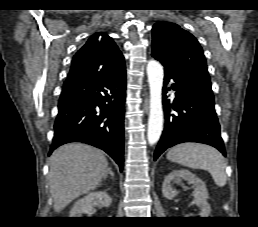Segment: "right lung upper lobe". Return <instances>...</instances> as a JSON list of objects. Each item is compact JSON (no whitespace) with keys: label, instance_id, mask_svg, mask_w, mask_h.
<instances>
[{"label":"right lung upper lobe","instance_id":"right-lung-upper-lobe-1","mask_svg":"<svg viewBox=\"0 0 258 227\" xmlns=\"http://www.w3.org/2000/svg\"><path fill=\"white\" fill-rule=\"evenodd\" d=\"M119 61L124 58L112 38L95 33L73 57L68 78L95 74Z\"/></svg>","mask_w":258,"mask_h":227}]
</instances>
